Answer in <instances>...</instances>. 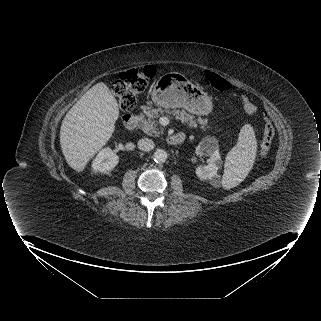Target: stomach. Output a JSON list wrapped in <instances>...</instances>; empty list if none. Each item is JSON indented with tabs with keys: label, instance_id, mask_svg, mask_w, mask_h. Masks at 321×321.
<instances>
[{
	"label": "stomach",
	"instance_id": "1",
	"mask_svg": "<svg viewBox=\"0 0 321 321\" xmlns=\"http://www.w3.org/2000/svg\"><path fill=\"white\" fill-rule=\"evenodd\" d=\"M152 101L164 108L183 107L200 116L210 114L213 109L208 94L177 72L166 73L158 79L152 92Z\"/></svg>",
	"mask_w": 321,
	"mask_h": 321
}]
</instances>
